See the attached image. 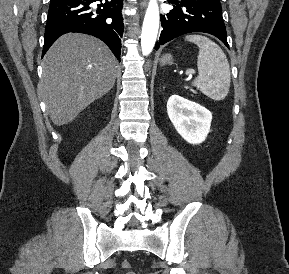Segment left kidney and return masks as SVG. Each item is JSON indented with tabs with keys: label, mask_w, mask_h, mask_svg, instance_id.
Listing matches in <instances>:
<instances>
[{
	"label": "left kidney",
	"mask_w": 289,
	"mask_h": 274,
	"mask_svg": "<svg viewBox=\"0 0 289 274\" xmlns=\"http://www.w3.org/2000/svg\"><path fill=\"white\" fill-rule=\"evenodd\" d=\"M169 119L177 132L190 144H200L207 137L212 114L205 107L179 95H172L167 102Z\"/></svg>",
	"instance_id": "obj_1"
}]
</instances>
